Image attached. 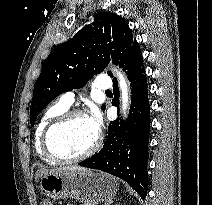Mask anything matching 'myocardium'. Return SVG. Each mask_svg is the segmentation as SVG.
I'll use <instances>...</instances> for the list:
<instances>
[{"mask_svg":"<svg viewBox=\"0 0 212 205\" xmlns=\"http://www.w3.org/2000/svg\"><path fill=\"white\" fill-rule=\"evenodd\" d=\"M75 117H86L85 113L78 109L67 110L54 118L46 127L43 136H42V147L44 152L47 154L48 157L53 159L58 163H75L81 160H84L90 156H92L99 148L101 144V138L98 134L96 136L95 141L93 144L83 153L74 156V157H66L59 154L53 145V136L58 129L64 126L67 122Z\"/></svg>","mask_w":212,"mask_h":205,"instance_id":"myocardium-1","label":"myocardium"}]
</instances>
